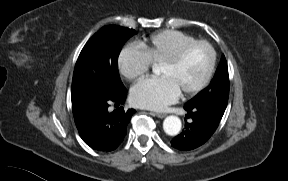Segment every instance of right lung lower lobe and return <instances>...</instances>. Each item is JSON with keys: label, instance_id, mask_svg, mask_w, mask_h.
I'll return each instance as SVG.
<instances>
[{"label": "right lung lower lobe", "instance_id": "right-lung-lower-lobe-1", "mask_svg": "<svg viewBox=\"0 0 288 181\" xmlns=\"http://www.w3.org/2000/svg\"><path fill=\"white\" fill-rule=\"evenodd\" d=\"M127 90L113 96L99 99L87 111V116L80 126H77L83 141L98 151H113L119 147L126 135V128L134 109L124 111L123 107L113 112L108 111L109 104L124 103Z\"/></svg>", "mask_w": 288, "mask_h": 181}]
</instances>
